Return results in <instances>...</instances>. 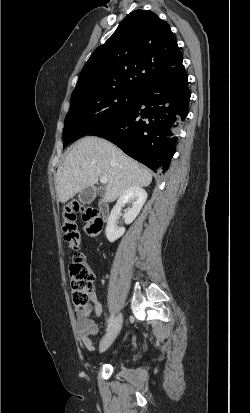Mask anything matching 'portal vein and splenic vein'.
I'll list each match as a JSON object with an SVG mask.
<instances>
[{"instance_id":"18ae733b","label":"portal vein and splenic vein","mask_w":250,"mask_h":413,"mask_svg":"<svg viewBox=\"0 0 250 413\" xmlns=\"http://www.w3.org/2000/svg\"><path fill=\"white\" fill-rule=\"evenodd\" d=\"M100 182H101L102 184H106V183H107V178H106L105 176H101V177H100Z\"/></svg>"}]
</instances>
